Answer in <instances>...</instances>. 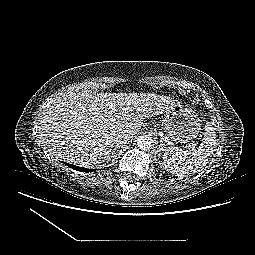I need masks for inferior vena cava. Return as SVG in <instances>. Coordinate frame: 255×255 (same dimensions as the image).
Returning <instances> with one entry per match:
<instances>
[{
	"label": "inferior vena cava",
	"instance_id": "obj_1",
	"mask_svg": "<svg viewBox=\"0 0 255 255\" xmlns=\"http://www.w3.org/2000/svg\"><path fill=\"white\" fill-rule=\"evenodd\" d=\"M131 139V135L128 132H119L115 136V143L118 144H123L128 142Z\"/></svg>",
	"mask_w": 255,
	"mask_h": 255
}]
</instances>
